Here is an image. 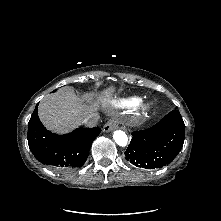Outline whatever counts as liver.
I'll return each mask as SVG.
<instances>
[{
	"mask_svg": "<svg viewBox=\"0 0 221 221\" xmlns=\"http://www.w3.org/2000/svg\"><path fill=\"white\" fill-rule=\"evenodd\" d=\"M112 93V88L104 90L96 100L85 103L71 87H64L42 99L38 115L47 129L67 133L80 126L85 117L106 109Z\"/></svg>",
	"mask_w": 221,
	"mask_h": 221,
	"instance_id": "liver-1",
	"label": "liver"
}]
</instances>
